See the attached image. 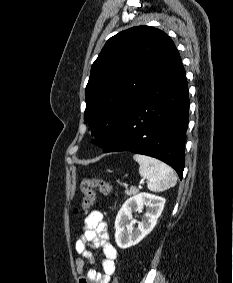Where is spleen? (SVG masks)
<instances>
[{
    "label": "spleen",
    "instance_id": "spleen-1",
    "mask_svg": "<svg viewBox=\"0 0 233 283\" xmlns=\"http://www.w3.org/2000/svg\"><path fill=\"white\" fill-rule=\"evenodd\" d=\"M133 159L139 163V174L148 181L149 190L160 192L176 185L177 177L167 164L142 154H135Z\"/></svg>",
    "mask_w": 233,
    "mask_h": 283
}]
</instances>
